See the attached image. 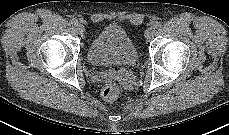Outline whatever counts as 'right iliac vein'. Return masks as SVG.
<instances>
[{"mask_svg": "<svg viewBox=\"0 0 229 135\" xmlns=\"http://www.w3.org/2000/svg\"><path fill=\"white\" fill-rule=\"evenodd\" d=\"M76 29H77V32L81 35L85 33V27L83 24H77Z\"/></svg>", "mask_w": 229, "mask_h": 135, "instance_id": "63e3f726", "label": "right iliac vein"}]
</instances>
